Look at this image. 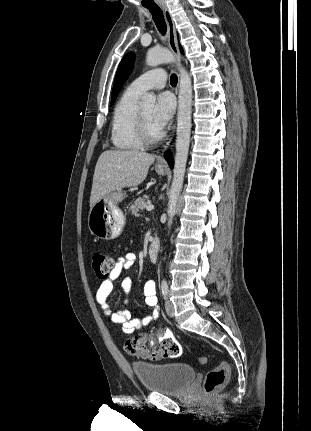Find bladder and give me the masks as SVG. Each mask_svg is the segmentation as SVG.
I'll list each match as a JSON object with an SVG mask.
<instances>
[{
	"mask_svg": "<svg viewBox=\"0 0 311 431\" xmlns=\"http://www.w3.org/2000/svg\"><path fill=\"white\" fill-rule=\"evenodd\" d=\"M132 368L144 389L165 395L183 393L195 378V370L185 363L138 362Z\"/></svg>",
	"mask_w": 311,
	"mask_h": 431,
	"instance_id": "31cf9c89",
	"label": "bladder"
}]
</instances>
